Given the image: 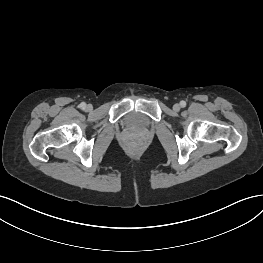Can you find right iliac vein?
Returning a JSON list of instances; mask_svg holds the SVG:
<instances>
[{
	"mask_svg": "<svg viewBox=\"0 0 263 263\" xmlns=\"http://www.w3.org/2000/svg\"><path fill=\"white\" fill-rule=\"evenodd\" d=\"M92 109H93L92 105L89 104V105L86 106V110L87 111H91Z\"/></svg>",
	"mask_w": 263,
	"mask_h": 263,
	"instance_id": "right-iliac-vein-1",
	"label": "right iliac vein"
}]
</instances>
